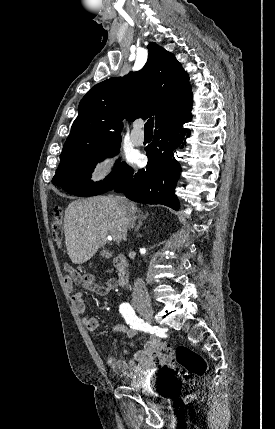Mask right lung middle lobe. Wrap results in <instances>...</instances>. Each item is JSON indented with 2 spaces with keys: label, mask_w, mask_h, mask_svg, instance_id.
Listing matches in <instances>:
<instances>
[{
  "label": "right lung middle lobe",
  "mask_w": 275,
  "mask_h": 429,
  "mask_svg": "<svg viewBox=\"0 0 275 429\" xmlns=\"http://www.w3.org/2000/svg\"><path fill=\"white\" fill-rule=\"evenodd\" d=\"M120 142L121 139L103 148L61 160L52 181L60 185L67 192L83 197L102 194L114 189L125 180L131 170L125 163L117 162L115 164L116 167L103 181L93 183L90 178L96 163L103 160L106 156L116 154Z\"/></svg>",
  "instance_id": "obj_1"
}]
</instances>
